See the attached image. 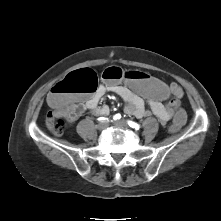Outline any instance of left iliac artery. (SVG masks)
I'll use <instances>...</instances> for the list:
<instances>
[{"mask_svg": "<svg viewBox=\"0 0 221 221\" xmlns=\"http://www.w3.org/2000/svg\"><path fill=\"white\" fill-rule=\"evenodd\" d=\"M128 125L131 127V128H133V129H136V130H138V129H140V125L139 124H137L136 122H134V121H128Z\"/></svg>", "mask_w": 221, "mask_h": 221, "instance_id": "left-iliac-artery-1", "label": "left iliac artery"}]
</instances>
